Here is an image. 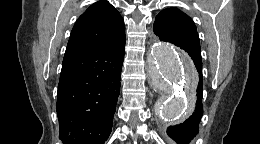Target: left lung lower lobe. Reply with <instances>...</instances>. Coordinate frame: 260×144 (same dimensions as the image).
Listing matches in <instances>:
<instances>
[{"instance_id":"1","label":"left lung lower lobe","mask_w":260,"mask_h":144,"mask_svg":"<svg viewBox=\"0 0 260 144\" xmlns=\"http://www.w3.org/2000/svg\"><path fill=\"white\" fill-rule=\"evenodd\" d=\"M184 49L191 57L193 62H198L201 58V50L199 46L188 43H173ZM202 59V58H201ZM203 80H199L197 86L194 87L192 97L194 98L193 109L189 117L182 123L169 126L167 134L176 141L177 144H189V142L197 135L199 131V123L203 115L202 105Z\"/></svg>"}]
</instances>
